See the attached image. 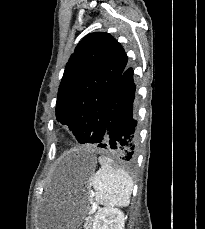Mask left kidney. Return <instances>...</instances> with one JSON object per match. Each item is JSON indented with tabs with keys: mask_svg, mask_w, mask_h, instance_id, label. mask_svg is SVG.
Masks as SVG:
<instances>
[{
	"mask_svg": "<svg viewBox=\"0 0 205 229\" xmlns=\"http://www.w3.org/2000/svg\"><path fill=\"white\" fill-rule=\"evenodd\" d=\"M124 213L113 207L99 208L92 229H124Z\"/></svg>",
	"mask_w": 205,
	"mask_h": 229,
	"instance_id": "obj_1",
	"label": "left kidney"
}]
</instances>
